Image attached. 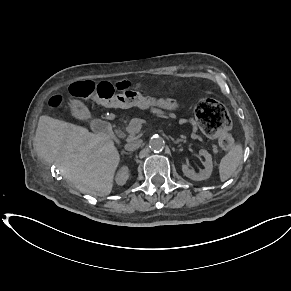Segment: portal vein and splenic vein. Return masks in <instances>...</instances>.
<instances>
[{
	"mask_svg": "<svg viewBox=\"0 0 291 291\" xmlns=\"http://www.w3.org/2000/svg\"><path fill=\"white\" fill-rule=\"evenodd\" d=\"M143 122L144 121L142 119H138V118L132 119L129 126H128V132L129 133H138L141 129Z\"/></svg>",
	"mask_w": 291,
	"mask_h": 291,
	"instance_id": "portal-vein-and-splenic-vein-1",
	"label": "portal vein and splenic vein"
}]
</instances>
